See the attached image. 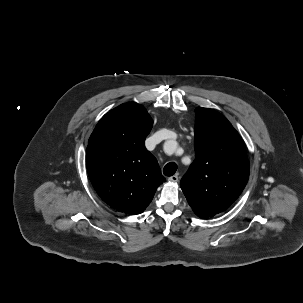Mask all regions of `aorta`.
I'll list each match as a JSON object with an SVG mask.
<instances>
[{"mask_svg":"<svg viewBox=\"0 0 303 303\" xmlns=\"http://www.w3.org/2000/svg\"><path fill=\"white\" fill-rule=\"evenodd\" d=\"M171 144H175V142H173V141L166 142L165 145H164V149L166 150L168 148V146L171 145Z\"/></svg>","mask_w":303,"mask_h":303,"instance_id":"aorta-1","label":"aorta"}]
</instances>
